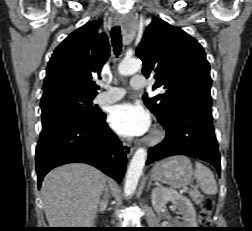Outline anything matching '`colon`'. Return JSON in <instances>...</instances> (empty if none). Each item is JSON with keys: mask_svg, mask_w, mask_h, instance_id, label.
Listing matches in <instances>:
<instances>
[{"mask_svg": "<svg viewBox=\"0 0 252 231\" xmlns=\"http://www.w3.org/2000/svg\"><path fill=\"white\" fill-rule=\"evenodd\" d=\"M214 208V202L211 198H204L201 201V210L198 217V222L202 226H207L211 223V214Z\"/></svg>", "mask_w": 252, "mask_h": 231, "instance_id": "colon-1", "label": "colon"}]
</instances>
